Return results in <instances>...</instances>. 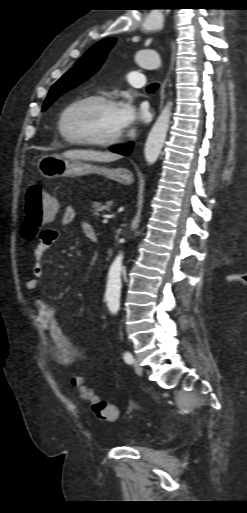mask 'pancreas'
Here are the masks:
<instances>
[{
    "mask_svg": "<svg viewBox=\"0 0 247 513\" xmlns=\"http://www.w3.org/2000/svg\"><path fill=\"white\" fill-rule=\"evenodd\" d=\"M111 210V204H102L99 202H93L91 212L93 215H98L100 212L105 213V211L109 212Z\"/></svg>",
    "mask_w": 247,
    "mask_h": 513,
    "instance_id": "cf45deb5",
    "label": "pancreas"
}]
</instances>
